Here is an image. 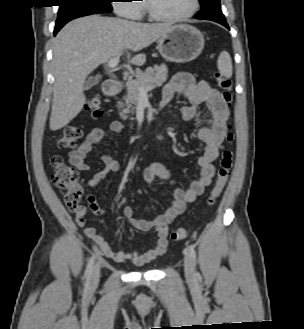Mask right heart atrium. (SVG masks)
<instances>
[{"label":"right heart atrium","instance_id":"obj_1","mask_svg":"<svg viewBox=\"0 0 304 329\" xmlns=\"http://www.w3.org/2000/svg\"><path fill=\"white\" fill-rule=\"evenodd\" d=\"M133 2H139V0H115L114 9L121 17L139 19L142 15V6Z\"/></svg>","mask_w":304,"mask_h":329}]
</instances>
